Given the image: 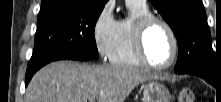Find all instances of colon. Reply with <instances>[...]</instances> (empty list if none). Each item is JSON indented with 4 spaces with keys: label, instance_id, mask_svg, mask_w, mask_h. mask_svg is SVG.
I'll list each match as a JSON object with an SVG mask.
<instances>
[{
    "label": "colon",
    "instance_id": "colon-1",
    "mask_svg": "<svg viewBox=\"0 0 221 102\" xmlns=\"http://www.w3.org/2000/svg\"><path fill=\"white\" fill-rule=\"evenodd\" d=\"M179 102H195L194 92L189 88L181 90L179 94Z\"/></svg>",
    "mask_w": 221,
    "mask_h": 102
}]
</instances>
